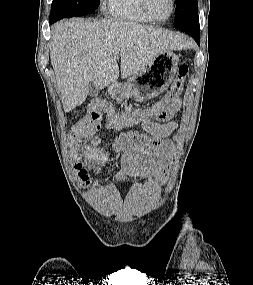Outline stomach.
Here are the masks:
<instances>
[{
	"label": "stomach",
	"mask_w": 253,
	"mask_h": 285,
	"mask_svg": "<svg viewBox=\"0 0 253 285\" xmlns=\"http://www.w3.org/2000/svg\"><path fill=\"white\" fill-rule=\"evenodd\" d=\"M178 62L177 55L171 50L164 51L124 84L109 85L108 92L116 100L133 97L140 102L148 101L169 87L177 72Z\"/></svg>",
	"instance_id": "0dacf381"
}]
</instances>
